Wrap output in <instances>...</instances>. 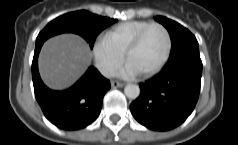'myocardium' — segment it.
<instances>
[{
    "mask_svg": "<svg viewBox=\"0 0 238 145\" xmlns=\"http://www.w3.org/2000/svg\"><path fill=\"white\" fill-rule=\"evenodd\" d=\"M154 27H158L163 30L165 37H166V48H165L164 54L161 57V59L159 60V62L149 71L140 74L142 77H150V76L156 74L168 60L170 53H171V49H172V38H171V34H170L169 30L167 29V27L161 23H158V22L150 23L148 26L143 28L136 35V37L131 41V43L128 45V47L126 48V50L124 52L125 60H127L129 54L140 45V43L142 42V40L145 37V35L147 34V32Z\"/></svg>",
    "mask_w": 238,
    "mask_h": 145,
    "instance_id": "obj_1",
    "label": "myocardium"
}]
</instances>
